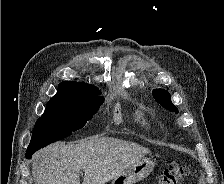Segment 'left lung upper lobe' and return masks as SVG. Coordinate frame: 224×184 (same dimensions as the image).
Returning <instances> with one entry per match:
<instances>
[{"label": "left lung upper lobe", "mask_w": 224, "mask_h": 184, "mask_svg": "<svg viewBox=\"0 0 224 184\" xmlns=\"http://www.w3.org/2000/svg\"><path fill=\"white\" fill-rule=\"evenodd\" d=\"M154 99L169 111L178 113L175 105L172 104L170 94L164 89H155L152 91Z\"/></svg>", "instance_id": "5c2ea615"}]
</instances>
